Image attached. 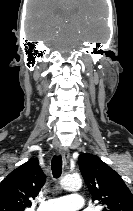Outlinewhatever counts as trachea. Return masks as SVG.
Masks as SVG:
<instances>
[{"label":"trachea","mask_w":133,"mask_h":211,"mask_svg":"<svg viewBox=\"0 0 133 211\" xmlns=\"http://www.w3.org/2000/svg\"><path fill=\"white\" fill-rule=\"evenodd\" d=\"M51 168L53 177L59 178L62 172V158L60 155L52 158Z\"/></svg>","instance_id":"3493384b"}]
</instances>
